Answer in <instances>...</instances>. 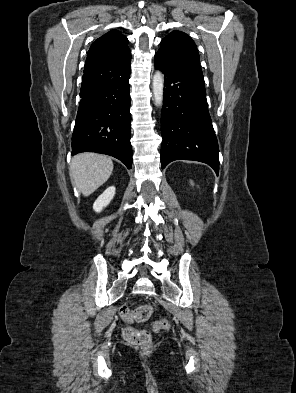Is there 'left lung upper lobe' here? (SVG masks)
<instances>
[{
	"label": "left lung upper lobe",
	"instance_id": "5c2ea615",
	"mask_svg": "<svg viewBox=\"0 0 296 393\" xmlns=\"http://www.w3.org/2000/svg\"><path fill=\"white\" fill-rule=\"evenodd\" d=\"M156 54L170 62L200 66V57L195 43L181 31H172L167 35L161 41V47Z\"/></svg>",
	"mask_w": 296,
	"mask_h": 393
}]
</instances>
